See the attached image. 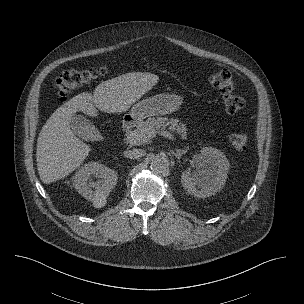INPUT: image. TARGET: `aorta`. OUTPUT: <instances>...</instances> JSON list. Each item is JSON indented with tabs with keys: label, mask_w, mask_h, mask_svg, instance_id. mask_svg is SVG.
Here are the masks:
<instances>
[{
	"label": "aorta",
	"mask_w": 304,
	"mask_h": 304,
	"mask_svg": "<svg viewBox=\"0 0 304 304\" xmlns=\"http://www.w3.org/2000/svg\"><path fill=\"white\" fill-rule=\"evenodd\" d=\"M169 167V160L164 154H157L151 159L150 168L155 173H162Z\"/></svg>",
	"instance_id": "obj_1"
}]
</instances>
